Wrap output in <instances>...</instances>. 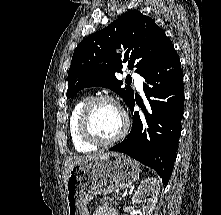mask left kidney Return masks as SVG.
<instances>
[{
	"mask_svg": "<svg viewBox=\"0 0 221 215\" xmlns=\"http://www.w3.org/2000/svg\"><path fill=\"white\" fill-rule=\"evenodd\" d=\"M160 181L154 177H148L141 182L132 197V203L142 204L141 215H151L158 201ZM144 203V204H143Z\"/></svg>",
	"mask_w": 221,
	"mask_h": 215,
	"instance_id": "obj_1",
	"label": "left kidney"
}]
</instances>
